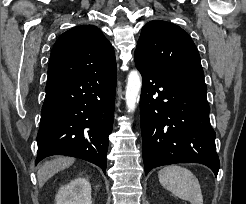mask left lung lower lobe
<instances>
[{
  "label": "left lung lower lobe",
  "mask_w": 246,
  "mask_h": 204,
  "mask_svg": "<svg viewBox=\"0 0 246 204\" xmlns=\"http://www.w3.org/2000/svg\"><path fill=\"white\" fill-rule=\"evenodd\" d=\"M136 67L143 78L140 119L145 174L158 166L192 162L217 175L220 162L205 82Z\"/></svg>",
  "instance_id": "1"
}]
</instances>
